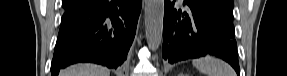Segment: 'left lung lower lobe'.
Masks as SVG:
<instances>
[{"instance_id": "0a47b994", "label": "left lung lower lobe", "mask_w": 287, "mask_h": 76, "mask_svg": "<svg viewBox=\"0 0 287 76\" xmlns=\"http://www.w3.org/2000/svg\"><path fill=\"white\" fill-rule=\"evenodd\" d=\"M187 11L165 0L163 57L169 63L206 55L220 57L240 75L232 20L193 0H184Z\"/></svg>"}]
</instances>
